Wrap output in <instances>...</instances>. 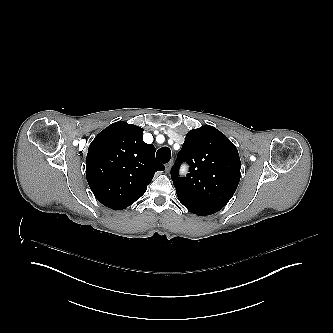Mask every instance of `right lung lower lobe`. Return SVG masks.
Listing matches in <instances>:
<instances>
[{"mask_svg": "<svg viewBox=\"0 0 333 333\" xmlns=\"http://www.w3.org/2000/svg\"><path fill=\"white\" fill-rule=\"evenodd\" d=\"M140 197H141V196H140ZM140 197L131 200L129 203H127V204L123 207V209L126 208V207H128V206L131 205L132 203H134V202H135L136 200H138Z\"/></svg>", "mask_w": 333, "mask_h": 333, "instance_id": "98d812e1", "label": "right lung lower lobe"}]
</instances>
